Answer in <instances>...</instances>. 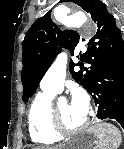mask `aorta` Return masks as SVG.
I'll use <instances>...</instances> for the list:
<instances>
[{"mask_svg": "<svg viewBox=\"0 0 124 149\" xmlns=\"http://www.w3.org/2000/svg\"><path fill=\"white\" fill-rule=\"evenodd\" d=\"M63 24L68 27L79 28L88 22V18L85 13L78 11L61 20Z\"/></svg>", "mask_w": 124, "mask_h": 149, "instance_id": "762f6f07", "label": "aorta"}]
</instances>
